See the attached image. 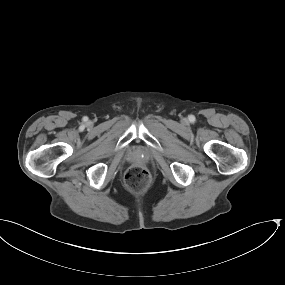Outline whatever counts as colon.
Wrapping results in <instances>:
<instances>
[{
    "label": "colon",
    "mask_w": 285,
    "mask_h": 285,
    "mask_svg": "<svg viewBox=\"0 0 285 285\" xmlns=\"http://www.w3.org/2000/svg\"><path fill=\"white\" fill-rule=\"evenodd\" d=\"M124 183L128 190L132 192H142L146 190L150 184V174L142 166H133L126 172Z\"/></svg>",
    "instance_id": "1"
}]
</instances>
